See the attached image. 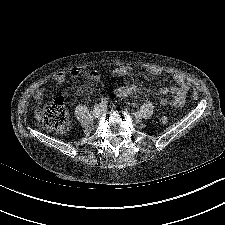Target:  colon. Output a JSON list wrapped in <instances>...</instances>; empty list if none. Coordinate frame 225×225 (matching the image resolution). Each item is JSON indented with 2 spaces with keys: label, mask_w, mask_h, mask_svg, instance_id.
I'll return each instance as SVG.
<instances>
[{
  "label": "colon",
  "mask_w": 225,
  "mask_h": 225,
  "mask_svg": "<svg viewBox=\"0 0 225 225\" xmlns=\"http://www.w3.org/2000/svg\"><path fill=\"white\" fill-rule=\"evenodd\" d=\"M39 120L44 129L65 133L69 127V115L62 99H56L47 104L38 112ZM169 122V118L163 115L160 123L165 125Z\"/></svg>",
  "instance_id": "colon-1"
}]
</instances>
